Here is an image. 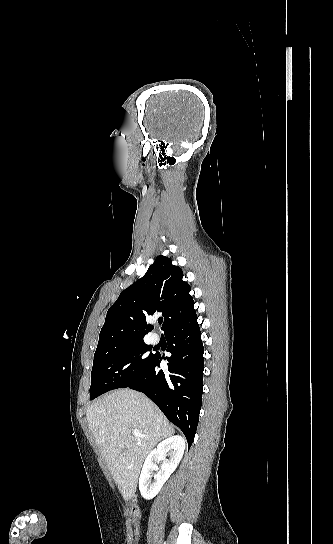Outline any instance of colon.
I'll list each match as a JSON object with an SVG mask.
<instances>
[{
  "label": "colon",
  "instance_id": "1",
  "mask_svg": "<svg viewBox=\"0 0 333 544\" xmlns=\"http://www.w3.org/2000/svg\"><path fill=\"white\" fill-rule=\"evenodd\" d=\"M129 509H130V513H131V516H132V520H133L134 525H135V533H136V535H138L141 514H140L139 506H138L135 499L131 500V502L129 504Z\"/></svg>",
  "mask_w": 333,
  "mask_h": 544
}]
</instances>
